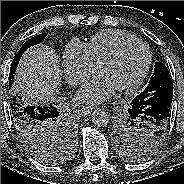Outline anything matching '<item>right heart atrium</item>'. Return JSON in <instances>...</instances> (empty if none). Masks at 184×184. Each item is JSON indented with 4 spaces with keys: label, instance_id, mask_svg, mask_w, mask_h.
Here are the masks:
<instances>
[{
    "label": "right heart atrium",
    "instance_id": "1",
    "mask_svg": "<svg viewBox=\"0 0 184 184\" xmlns=\"http://www.w3.org/2000/svg\"><path fill=\"white\" fill-rule=\"evenodd\" d=\"M67 81L79 85L98 70V64L92 59L87 45L72 40L65 48L62 56Z\"/></svg>",
    "mask_w": 184,
    "mask_h": 184
}]
</instances>
